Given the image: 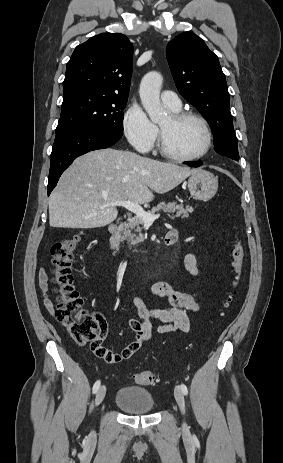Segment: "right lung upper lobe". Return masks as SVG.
Instances as JSON below:
<instances>
[{
  "label": "right lung upper lobe",
  "mask_w": 283,
  "mask_h": 463,
  "mask_svg": "<svg viewBox=\"0 0 283 463\" xmlns=\"http://www.w3.org/2000/svg\"><path fill=\"white\" fill-rule=\"evenodd\" d=\"M133 45L120 33H102L78 45L67 63L63 102L79 93L127 97Z\"/></svg>",
  "instance_id": "right-lung-upper-lobe-1"
}]
</instances>
